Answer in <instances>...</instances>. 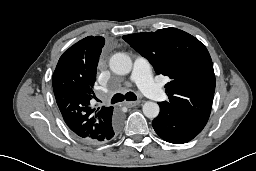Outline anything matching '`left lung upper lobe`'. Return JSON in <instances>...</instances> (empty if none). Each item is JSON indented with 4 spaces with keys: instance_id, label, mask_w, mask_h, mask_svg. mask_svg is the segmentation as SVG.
Instances as JSON below:
<instances>
[{
    "instance_id": "obj_1",
    "label": "left lung upper lobe",
    "mask_w": 256,
    "mask_h": 171,
    "mask_svg": "<svg viewBox=\"0 0 256 171\" xmlns=\"http://www.w3.org/2000/svg\"><path fill=\"white\" fill-rule=\"evenodd\" d=\"M123 39L154 66L157 74L170 78L165 85L173 106L206 124L215 91V74L206 47L192 35L177 28L142 32Z\"/></svg>"
}]
</instances>
